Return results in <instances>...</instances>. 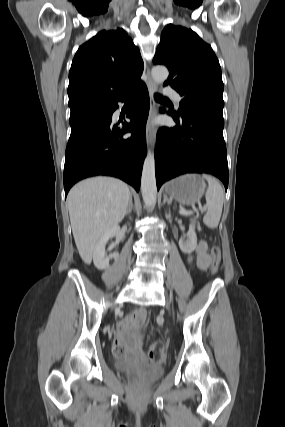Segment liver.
Instances as JSON below:
<instances>
[{"label": "liver", "mask_w": 285, "mask_h": 427, "mask_svg": "<svg viewBox=\"0 0 285 427\" xmlns=\"http://www.w3.org/2000/svg\"><path fill=\"white\" fill-rule=\"evenodd\" d=\"M129 198L128 185L110 177L89 178L70 190L67 202L72 232L86 264L92 261L96 241L123 220Z\"/></svg>", "instance_id": "liver-1"}]
</instances>
